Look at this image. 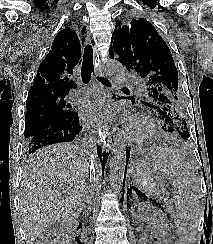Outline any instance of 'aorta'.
<instances>
[{"instance_id":"1","label":"aorta","mask_w":213,"mask_h":244,"mask_svg":"<svg viewBox=\"0 0 213 244\" xmlns=\"http://www.w3.org/2000/svg\"><path fill=\"white\" fill-rule=\"evenodd\" d=\"M107 71L115 80L117 86H121V77L124 74V68L117 60H108L106 64ZM126 167V142L121 131H118L112 150L110 162V187L111 190L119 193L122 189Z\"/></svg>"}]
</instances>
